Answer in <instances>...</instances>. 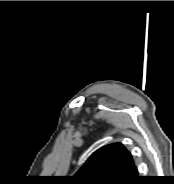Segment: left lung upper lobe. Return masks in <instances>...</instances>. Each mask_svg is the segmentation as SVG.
I'll return each instance as SVG.
<instances>
[{
	"label": "left lung upper lobe",
	"instance_id": "5c2ea615",
	"mask_svg": "<svg viewBox=\"0 0 174 184\" xmlns=\"http://www.w3.org/2000/svg\"><path fill=\"white\" fill-rule=\"evenodd\" d=\"M136 167L131 154L120 143L95 151L75 174L77 184H129Z\"/></svg>",
	"mask_w": 174,
	"mask_h": 184
}]
</instances>
